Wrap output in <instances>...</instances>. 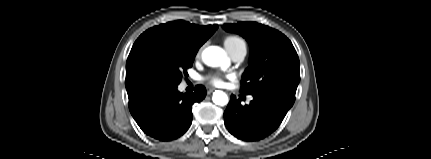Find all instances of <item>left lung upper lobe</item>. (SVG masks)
<instances>
[{
	"label": "left lung upper lobe",
	"mask_w": 431,
	"mask_h": 159,
	"mask_svg": "<svg viewBox=\"0 0 431 159\" xmlns=\"http://www.w3.org/2000/svg\"><path fill=\"white\" fill-rule=\"evenodd\" d=\"M223 28L240 34L250 45L249 67L243 74L240 92H273L295 101L300 63L291 41L281 32L256 22L224 24Z\"/></svg>",
	"instance_id": "obj_1"
}]
</instances>
